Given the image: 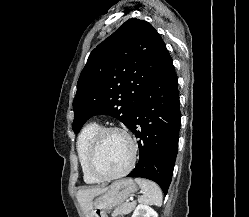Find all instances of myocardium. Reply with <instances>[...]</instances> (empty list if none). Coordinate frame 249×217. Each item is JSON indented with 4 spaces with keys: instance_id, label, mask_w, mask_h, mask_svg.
Returning <instances> with one entry per match:
<instances>
[{
    "instance_id": "myocardium-1",
    "label": "myocardium",
    "mask_w": 249,
    "mask_h": 217,
    "mask_svg": "<svg viewBox=\"0 0 249 217\" xmlns=\"http://www.w3.org/2000/svg\"><path fill=\"white\" fill-rule=\"evenodd\" d=\"M108 133H119L123 135L127 141L129 142L130 148H131V157L130 161L127 164V166L121 170L118 173L111 174V175H105L101 173L95 165V158L97 154V150L99 147V144L102 140V138L108 134ZM137 159V146L135 144V141L133 140L132 136L124 129L119 128V127H103L101 128L97 134L94 136L93 140L91 141L89 151H88V156H87V165L90 173L97 178L100 181H111L115 180L118 178H121L128 174L132 168L134 167Z\"/></svg>"
}]
</instances>
